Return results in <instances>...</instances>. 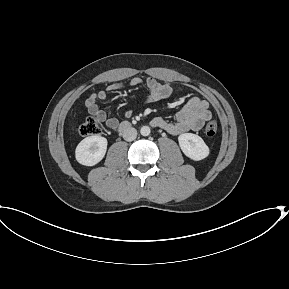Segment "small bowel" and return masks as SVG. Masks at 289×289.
I'll list each match as a JSON object with an SVG mask.
<instances>
[{
    "label": "small bowel",
    "instance_id": "small-bowel-1",
    "mask_svg": "<svg viewBox=\"0 0 289 289\" xmlns=\"http://www.w3.org/2000/svg\"><path fill=\"white\" fill-rule=\"evenodd\" d=\"M134 86H145L148 89V95L145 99L146 103L167 99L173 93V87L170 83H161L152 77L146 79L134 77L127 84L113 83L106 90L91 94L85 102L89 114L98 121L104 122L108 128L117 129L119 121L116 118H109L106 112L99 108L98 102L106 100L109 92L120 91L126 87ZM131 115V110L125 112L126 118H130ZM210 118L211 113L208 102L198 96H193L180 109L174 121H169L162 117H154L151 122L155 127L161 128L173 136H178L189 131L200 130Z\"/></svg>",
    "mask_w": 289,
    "mask_h": 289
}]
</instances>
